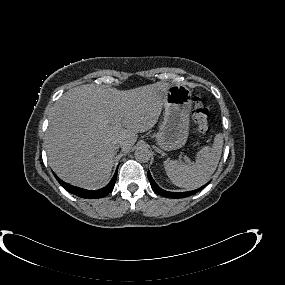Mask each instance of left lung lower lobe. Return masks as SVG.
<instances>
[{"instance_id": "0a47b994", "label": "left lung lower lobe", "mask_w": 285, "mask_h": 285, "mask_svg": "<svg viewBox=\"0 0 285 285\" xmlns=\"http://www.w3.org/2000/svg\"><path fill=\"white\" fill-rule=\"evenodd\" d=\"M148 179L150 181L152 189L158 195L164 196L166 198H184V197H188L190 195L195 194L196 192H198L199 190H201L202 188H204L207 185L206 184V185L200 187L199 189H196V190H193V191H188V192H169V191H165V190H163V189H161L160 187L157 186V184L152 179L149 171H148Z\"/></svg>"}]
</instances>
